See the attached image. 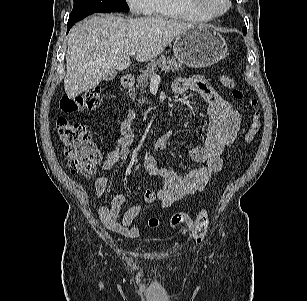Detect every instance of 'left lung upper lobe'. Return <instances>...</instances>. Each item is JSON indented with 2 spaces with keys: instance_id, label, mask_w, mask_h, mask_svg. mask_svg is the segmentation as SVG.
<instances>
[{
  "instance_id": "5c2ea615",
  "label": "left lung upper lobe",
  "mask_w": 307,
  "mask_h": 301,
  "mask_svg": "<svg viewBox=\"0 0 307 301\" xmlns=\"http://www.w3.org/2000/svg\"><path fill=\"white\" fill-rule=\"evenodd\" d=\"M242 31H243L244 34H246L247 28H246V27H243V28H242Z\"/></svg>"
}]
</instances>
